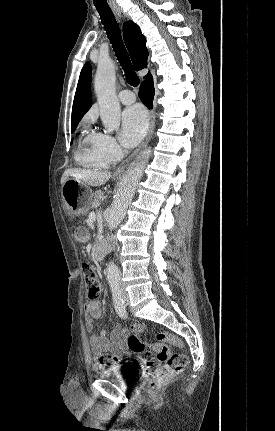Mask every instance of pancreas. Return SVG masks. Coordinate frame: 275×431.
I'll list each match as a JSON object with an SVG mask.
<instances>
[{
  "mask_svg": "<svg viewBox=\"0 0 275 431\" xmlns=\"http://www.w3.org/2000/svg\"><path fill=\"white\" fill-rule=\"evenodd\" d=\"M102 195H103V192L102 191H97L95 194H94V199H93V202H92V206H91V208H94V207H96L98 204H99V202L101 201V199H102Z\"/></svg>",
  "mask_w": 275,
  "mask_h": 431,
  "instance_id": "cf45deb5",
  "label": "pancreas"
}]
</instances>
